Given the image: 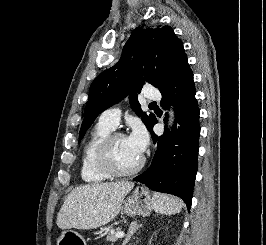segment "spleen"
<instances>
[{"instance_id":"1","label":"spleen","mask_w":266,"mask_h":245,"mask_svg":"<svg viewBox=\"0 0 266 245\" xmlns=\"http://www.w3.org/2000/svg\"><path fill=\"white\" fill-rule=\"evenodd\" d=\"M183 205L184 203L176 197H168V195H161V193H154L153 195V209L161 215H176V213H180Z\"/></svg>"}]
</instances>
